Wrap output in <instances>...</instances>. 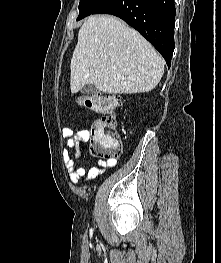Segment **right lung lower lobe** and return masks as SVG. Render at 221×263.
Segmentation results:
<instances>
[{"mask_svg":"<svg viewBox=\"0 0 221 263\" xmlns=\"http://www.w3.org/2000/svg\"><path fill=\"white\" fill-rule=\"evenodd\" d=\"M112 14L144 36L164 57L168 67L175 48L174 0H106L93 14Z\"/></svg>","mask_w":221,"mask_h":263,"instance_id":"obj_1","label":"right lung lower lobe"}]
</instances>
